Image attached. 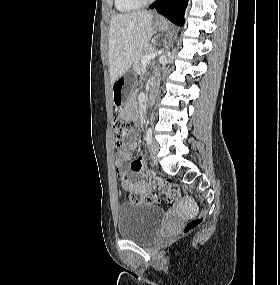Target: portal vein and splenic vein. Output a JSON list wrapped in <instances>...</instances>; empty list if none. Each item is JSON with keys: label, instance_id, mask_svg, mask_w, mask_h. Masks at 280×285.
Returning a JSON list of instances; mask_svg holds the SVG:
<instances>
[{"label": "portal vein and splenic vein", "instance_id": "obj_1", "mask_svg": "<svg viewBox=\"0 0 280 285\" xmlns=\"http://www.w3.org/2000/svg\"><path fill=\"white\" fill-rule=\"evenodd\" d=\"M161 53H162V50H159V51H155V52H153V53H151L149 55L143 56L142 59H141L142 65H144V66L147 65V63H149V61L151 59H154L157 55H159Z\"/></svg>", "mask_w": 280, "mask_h": 285}]
</instances>
